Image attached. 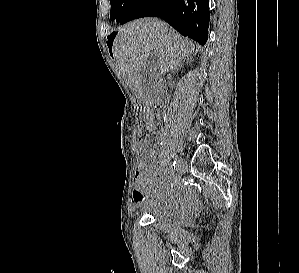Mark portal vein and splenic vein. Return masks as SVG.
I'll return each instance as SVG.
<instances>
[{"label": "portal vein and splenic vein", "mask_w": 299, "mask_h": 273, "mask_svg": "<svg viewBox=\"0 0 299 273\" xmlns=\"http://www.w3.org/2000/svg\"><path fill=\"white\" fill-rule=\"evenodd\" d=\"M152 56L157 57V54L156 53H152Z\"/></svg>", "instance_id": "portal-vein-and-splenic-vein-1"}]
</instances>
